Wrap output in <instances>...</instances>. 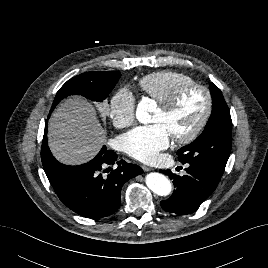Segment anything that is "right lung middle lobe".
<instances>
[{"mask_svg":"<svg viewBox=\"0 0 268 268\" xmlns=\"http://www.w3.org/2000/svg\"><path fill=\"white\" fill-rule=\"evenodd\" d=\"M80 75L68 80L60 88L53 104L55 103V105H57L64 97L73 94H79L87 97L90 100L102 102L107 98L121 76L119 71L113 74L99 71L86 72L83 73V78ZM82 79L95 82L96 87L92 89L82 87L80 83ZM45 172L54 190H58L60 188V181L58 179L59 176L56 173H48L46 170Z\"/></svg>","mask_w":268,"mask_h":268,"instance_id":"right-lung-middle-lobe-1","label":"right lung middle lobe"}]
</instances>
